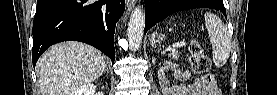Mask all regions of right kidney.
<instances>
[{
  "instance_id": "right-kidney-1",
  "label": "right kidney",
  "mask_w": 277,
  "mask_h": 95,
  "mask_svg": "<svg viewBox=\"0 0 277 95\" xmlns=\"http://www.w3.org/2000/svg\"><path fill=\"white\" fill-rule=\"evenodd\" d=\"M96 86L94 84H85L76 89L72 95H94Z\"/></svg>"
}]
</instances>
